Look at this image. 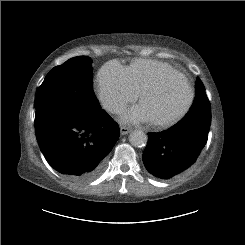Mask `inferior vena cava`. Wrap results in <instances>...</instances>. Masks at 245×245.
I'll return each instance as SVG.
<instances>
[{"mask_svg":"<svg viewBox=\"0 0 245 245\" xmlns=\"http://www.w3.org/2000/svg\"><path fill=\"white\" fill-rule=\"evenodd\" d=\"M107 109L112 113H120L124 110V105L121 103H110L108 104Z\"/></svg>","mask_w":245,"mask_h":245,"instance_id":"obj_1","label":"inferior vena cava"}]
</instances>
